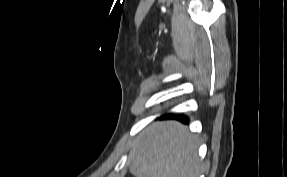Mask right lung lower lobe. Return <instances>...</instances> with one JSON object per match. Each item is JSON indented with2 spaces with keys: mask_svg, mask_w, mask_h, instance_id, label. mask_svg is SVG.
<instances>
[{
  "mask_svg": "<svg viewBox=\"0 0 287 177\" xmlns=\"http://www.w3.org/2000/svg\"><path fill=\"white\" fill-rule=\"evenodd\" d=\"M162 117H174V118H177L183 122H188V118L184 115L176 116L174 114L169 113V114H164Z\"/></svg>",
  "mask_w": 287,
  "mask_h": 177,
  "instance_id": "right-lung-lower-lobe-1",
  "label": "right lung lower lobe"
}]
</instances>
